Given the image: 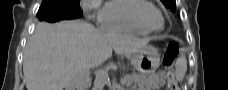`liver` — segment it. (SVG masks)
<instances>
[{"mask_svg": "<svg viewBox=\"0 0 228 90\" xmlns=\"http://www.w3.org/2000/svg\"><path fill=\"white\" fill-rule=\"evenodd\" d=\"M150 40L104 32L81 20L39 23L24 51L26 88L64 90L79 69L99 66L111 57L112 50L130 57Z\"/></svg>", "mask_w": 228, "mask_h": 90, "instance_id": "liver-1", "label": "liver"}]
</instances>
